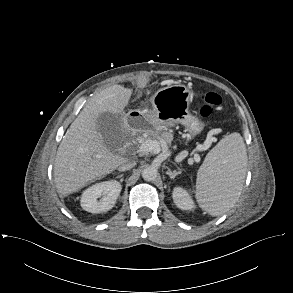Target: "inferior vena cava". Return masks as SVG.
Segmentation results:
<instances>
[{
  "instance_id": "obj_1",
  "label": "inferior vena cava",
  "mask_w": 293,
  "mask_h": 293,
  "mask_svg": "<svg viewBox=\"0 0 293 293\" xmlns=\"http://www.w3.org/2000/svg\"><path fill=\"white\" fill-rule=\"evenodd\" d=\"M136 165L134 161L125 160L118 168L119 171H126L133 168Z\"/></svg>"
}]
</instances>
